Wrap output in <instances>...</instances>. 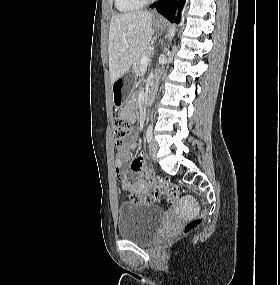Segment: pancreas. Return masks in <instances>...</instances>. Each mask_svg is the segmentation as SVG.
<instances>
[{"label":"pancreas","instance_id":"obj_1","mask_svg":"<svg viewBox=\"0 0 280 285\" xmlns=\"http://www.w3.org/2000/svg\"><path fill=\"white\" fill-rule=\"evenodd\" d=\"M151 52H152V50L150 49V47H149V46L146 47V48L142 51V53L137 57V59L134 61L132 69H133V71H134L137 75L140 73L141 67H142L141 58H142L143 56L150 55Z\"/></svg>","mask_w":280,"mask_h":285}]
</instances>
